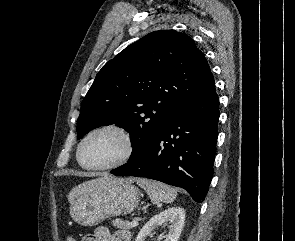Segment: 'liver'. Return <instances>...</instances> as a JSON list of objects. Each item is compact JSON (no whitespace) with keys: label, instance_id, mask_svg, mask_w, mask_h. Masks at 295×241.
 Here are the masks:
<instances>
[{"label":"liver","instance_id":"obj_1","mask_svg":"<svg viewBox=\"0 0 295 241\" xmlns=\"http://www.w3.org/2000/svg\"><path fill=\"white\" fill-rule=\"evenodd\" d=\"M116 178L108 175V174H103L102 177L96 178L93 180H89L86 182H83L82 184H79L78 186L74 187L71 192L68 195V200L69 202H72L75 197H77L79 194L89 190L92 187H95L97 185L107 183V182H112L115 181ZM129 182H133V179H127Z\"/></svg>","mask_w":295,"mask_h":241}]
</instances>
